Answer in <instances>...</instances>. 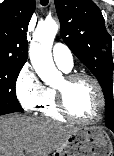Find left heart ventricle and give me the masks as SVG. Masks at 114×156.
I'll return each instance as SVG.
<instances>
[{"mask_svg":"<svg viewBox=\"0 0 114 156\" xmlns=\"http://www.w3.org/2000/svg\"><path fill=\"white\" fill-rule=\"evenodd\" d=\"M66 89L67 106L70 112L80 119H92L99 109V98L94 85L80 79L67 86L64 79L57 86Z\"/></svg>","mask_w":114,"mask_h":156,"instance_id":"b2bd125f","label":"left heart ventricle"}]
</instances>
